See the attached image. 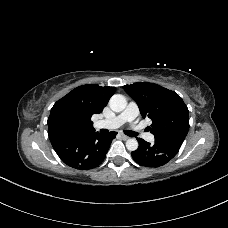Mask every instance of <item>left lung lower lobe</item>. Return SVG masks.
Wrapping results in <instances>:
<instances>
[{"instance_id": "obj_1", "label": "left lung lower lobe", "mask_w": 228, "mask_h": 228, "mask_svg": "<svg viewBox=\"0 0 228 228\" xmlns=\"http://www.w3.org/2000/svg\"><path fill=\"white\" fill-rule=\"evenodd\" d=\"M184 140L173 137L155 138L150 144L139 138V147L131 153L132 158L146 167H159L168 163L179 151Z\"/></svg>"}]
</instances>
